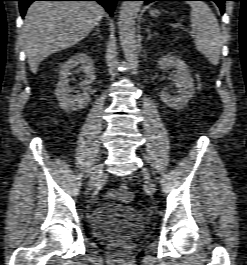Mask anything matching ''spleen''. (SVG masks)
<instances>
[{
	"label": "spleen",
	"mask_w": 247,
	"mask_h": 265,
	"mask_svg": "<svg viewBox=\"0 0 247 265\" xmlns=\"http://www.w3.org/2000/svg\"><path fill=\"white\" fill-rule=\"evenodd\" d=\"M191 7V36L196 49L205 55L211 64L219 63L222 39L218 21L209 6L202 1L187 2Z\"/></svg>",
	"instance_id": "spleen-1"
}]
</instances>
